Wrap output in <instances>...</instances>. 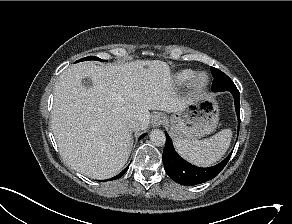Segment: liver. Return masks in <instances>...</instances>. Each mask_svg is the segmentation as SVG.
I'll use <instances>...</instances> for the list:
<instances>
[{
    "mask_svg": "<svg viewBox=\"0 0 292 224\" xmlns=\"http://www.w3.org/2000/svg\"><path fill=\"white\" fill-rule=\"evenodd\" d=\"M90 78L92 85L82 84ZM191 100L176 95L168 64L137 60L125 64L83 62L64 70L54 88L51 115L61 156L93 179L116 175L131 148L129 119L147 129L149 110L181 111ZM139 129V130H140Z\"/></svg>",
    "mask_w": 292,
    "mask_h": 224,
    "instance_id": "obj_1",
    "label": "liver"
}]
</instances>
